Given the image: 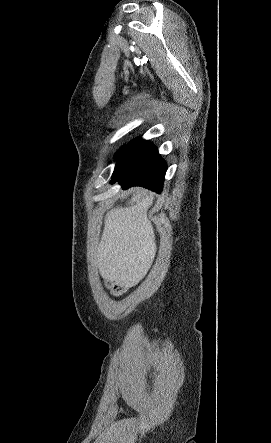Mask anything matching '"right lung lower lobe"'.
Here are the masks:
<instances>
[{"mask_svg":"<svg viewBox=\"0 0 271 443\" xmlns=\"http://www.w3.org/2000/svg\"><path fill=\"white\" fill-rule=\"evenodd\" d=\"M167 166L149 141L137 138L121 151L111 184L119 182L123 189L143 186L158 193L162 190Z\"/></svg>","mask_w":271,"mask_h":443,"instance_id":"98d812e1","label":"right lung lower lobe"}]
</instances>
